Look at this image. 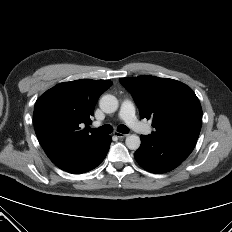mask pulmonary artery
Here are the masks:
<instances>
[{"label": "pulmonary artery", "instance_id": "1", "mask_svg": "<svg viewBox=\"0 0 232 232\" xmlns=\"http://www.w3.org/2000/svg\"><path fill=\"white\" fill-rule=\"evenodd\" d=\"M119 116L122 120L126 122V124L140 134H149L151 132V128L140 122L136 116V108L133 102L129 100L123 101ZM95 125H99V122H95Z\"/></svg>", "mask_w": 232, "mask_h": 232}]
</instances>
